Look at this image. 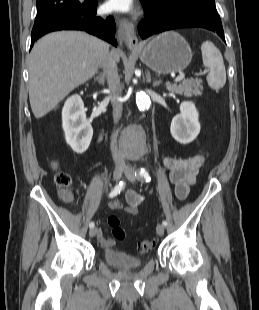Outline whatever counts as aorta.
Wrapping results in <instances>:
<instances>
[{
    "instance_id": "1",
    "label": "aorta",
    "mask_w": 259,
    "mask_h": 310,
    "mask_svg": "<svg viewBox=\"0 0 259 310\" xmlns=\"http://www.w3.org/2000/svg\"><path fill=\"white\" fill-rule=\"evenodd\" d=\"M136 105L140 111L150 108V97L143 91L136 94ZM121 143L125 151L132 158H140L146 153V134L140 126H130L121 136Z\"/></svg>"
}]
</instances>
